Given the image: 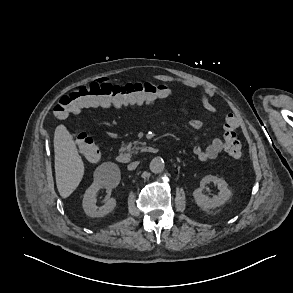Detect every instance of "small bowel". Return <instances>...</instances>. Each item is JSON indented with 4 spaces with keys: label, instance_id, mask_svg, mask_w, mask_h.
<instances>
[{
    "label": "small bowel",
    "instance_id": "obj_1",
    "mask_svg": "<svg viewBox=\"0 0 293 293\" xmlns=\"http://www.w3.org/2000/svg\"><path fill=\"white\" fill-rule=\"evenodd\" d=\"M155 78L163 83L181 82L182 84L190 88L196 87V84L193 82L180 80L169 75L160 74L155 76ZM214 95H215L214 90H212L211 88H205L201 96L203 107L205 108V110H207L210 113H214L216 111L215 105L211 103V98H213ZM156 101L157 100H151V101H144V102H139L135 104L139 106L152 105ZM188 127L192 130H199L204 127V123L199 119H191L188 121ZM223 150H224V142L220 138L212 139V141L205 148L199 145H196L193 147L194 155L202 162L217 158L223 152Z\"/></svg>",
    "mask_w": 293,
    "mask_h": 293
}]
</instances>
